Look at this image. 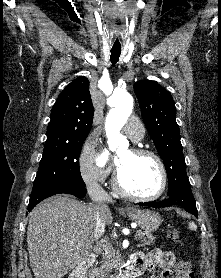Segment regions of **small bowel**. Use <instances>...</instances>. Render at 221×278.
<instances>
[{"instance_id": "c3829d8e", "label": "small bowel", "mask_w": 221, "mask_h": 278, "mask_svg": "<svg viewBox=\"0 0 221 278\" xmlns=\"http://www.w3.org/2000/svg\"><path fill=\"white\" fill-rule=\"evenodd\" d=\"M133 259L136 261L137 267L141 271L145 269H149L150 271H159L158 278H173V268H175L177 274V269L180 263L189 264L186 261L177 260L174 253L161 251L159 249H154L147 255L137 254Z\"/></svg>"}]
</instances>
